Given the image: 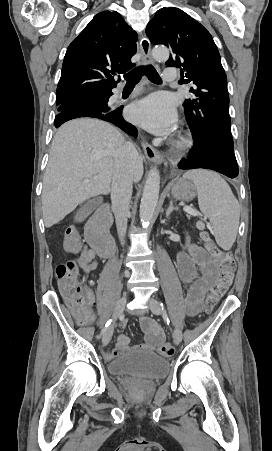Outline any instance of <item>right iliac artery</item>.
<instances>
[{"instance_id": "1", "label": "right iliac artery", "mask_w": 272, "mask_h": 451, "mask_svg": "<svg viewBox=\"0 0 272 451\" xmlns=\"http://www.w3.org/2000/svg\"><path fill=\"white\" fill-rule=\"evenodd\" d=\"M111 323H112V319L108 320L101 333H104L110 327Z\"/></svg>"}]
</instances>
